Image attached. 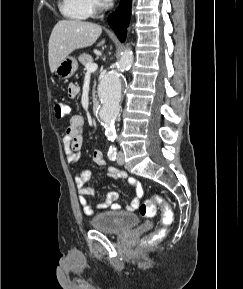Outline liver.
I'll return each instance as SVG.
<instances>
[{
    "label": "liver",
    "mask_w": 243,
    "mask_h": 289,
    "mask_svg": "<svg viewBox=\"0 0 243 289\" xmlns=\"http://www.w3.org/2000/svg\"><path fill=\"white\" fill-rule=\"evenodd\" d=\"M102 27L95 23L79 20H60L54 26L49 38L48 60L50 71L55 72L59 63L73 51L95 43ZM105 43L102 40L98 46Z\"/></svg>",
    "instance_id": "obj_1"
}]
</instances>
